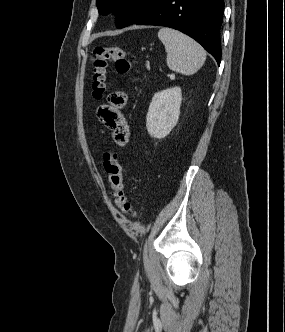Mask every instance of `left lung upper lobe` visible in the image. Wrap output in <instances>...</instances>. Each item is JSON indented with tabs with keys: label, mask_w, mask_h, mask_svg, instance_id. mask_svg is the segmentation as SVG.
<instances>
[{
	"label": "left lung upper lobe",
	"mask_w": 285,
	"mask_h": 332,
	"mask_svg": "<svg viewBox=\"0 0 285 332\" xmlns=\"http://www.w3.org/2000/svg\"><path fill=\"white\" fill-rule=\"evenodd\" d=\"M156 0H96L99 13L106 15L115 12L116 26L123 28L139 19Z\"/></svg>",
	"instance_id": "1"
}]
</instances>
